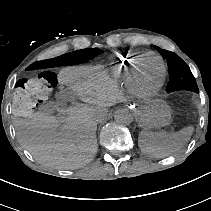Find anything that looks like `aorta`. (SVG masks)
Masks as SVG:
<instances>
[{
    "label": "aorta",
    "instance_id": "obj_1",
    "mask_svg": "<svg viewBox=\"0 0 211 211\" xmlns=\"http://www.w3.org/2000/svg\"><path fill=\"white\" fill-rule=\"evenodd\" d=\"M116 123L121 125H129L133 121V114L127 108L118 109L114 113Z\"/></svg>",
    "mask_w": 211,
    "mask_h": 211
}]
</instances>
